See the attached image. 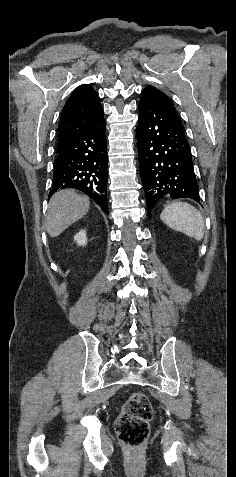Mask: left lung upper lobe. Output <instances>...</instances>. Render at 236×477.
<instances>
[{"label":"left lung upper lobe","instance_id":"5c2ea615","mask_svg":"<svg viewBox=\"0 0 236 477\" xmlns=\"http://www.w3.org/2000/svg\"><path fill=\"white\" fill-rule=\"evenodd\" d=\"M147 87L153 88V89L159 91V92L163 95V97L165 98V100L167 101L168 105L170 106L171 111L174 113V115L176 116V118H177L178 120H180L178 114L176 113V111H175L174 108H173V105H172L170 99H169L163 92H161L160 90H158L157 88H155V87H153V86H147Z\"/></svg>","mask_w":236,"mask_h":477}]
</instances>
